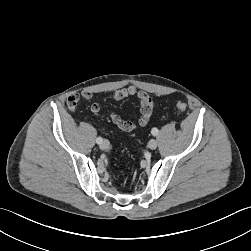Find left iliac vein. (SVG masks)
I'll return each mask as SVG.
<instances>
[{"label": "left iliac vein", "instance_id": "4c4485c4", "mask_svg": "<svg viewBox=\"0 0 251 251\" xmlns=\"http://www.w3.org/2000/svg\"><path fill=\"white\" fill-rule=\"evenodd\" d=\"M157 146H158V143H157V141L154 140V139L150 140L149 143H148V147H149L150 149H152V150L156 149Z\"/></svg>", "mask_w": 251, "mask_h": 251}]
</instances>
